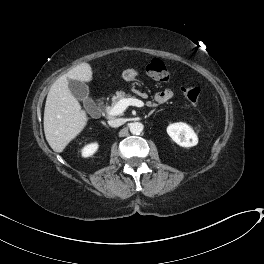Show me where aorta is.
<instances>
[{
  "label": "aorta",
  "instance_id": "762f6f07",
  "mask_svg": "<svg viewBox=\"0 0 264 264\" xmlns=\"http://www.w3.org/2000/svg\"><path fill=\"white\" fill-rule=\"evenodd\" d=\"M143 131V125L140 122H134L130 125V132L134 135H139Z\"/></svg>",
  "mask_w": 264,
  "mask_h": 264
}]
</instances>
